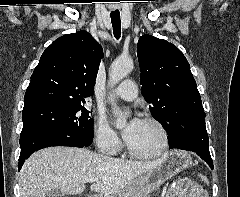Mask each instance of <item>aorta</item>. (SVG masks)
I'll list each match as a JSON object with an SVG mask.
<instances>
[{
	"instance_id": "obj_1",
	"label": "aorta",
	"mask_w": 240,
	"mask_h": 197,
	"mask_svg": "<svg viewBox=\"0 0 240 197\" xmlns=\"http://www.w3.org/2000/svg\"><path fill=\"white\" fill-rule=\"evenodd\" d=\"M133 69V60L129 57L118 58L110 66L109 84L113 87L124 79ZM113 113L117 116L116 127L121 129L126 124V117L121 113L113 97L109 98Z\"/></svg>"
}]
</instances>
